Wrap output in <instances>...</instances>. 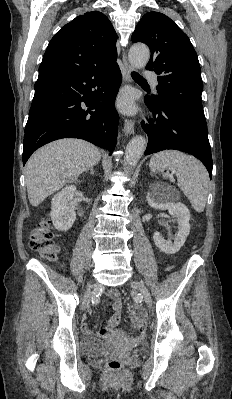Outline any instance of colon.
Instances as JSON below:
<instances>
[{"label":"colon","mask_w":232,"mask_h":399,"mask_svg":"<svg viewBox=\"0 0 232 399\" xmlns=\"http://www.w3.org/2000/svg\"><path fill=\"white\" fill-rule=\"evenodd\" d=\"M36 230L33 231L32 237L27 241V247L39 256L55 261L59 257V251L56 244L53 243L52 228L49 222L42 221L37 223ZM131 327L137 328L138 324H147L146 308H131ZM130 340H119L118 346L113 347L114 353H133L134 348L130 346ZM121 347V348H120ZM108 367L110 374H123L125 366L122 361V355H109Z\"/></svg>","instance_id":"colon-1"}]
</instances>
